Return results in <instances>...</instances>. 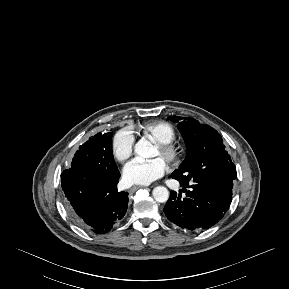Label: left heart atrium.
<instances>
[{"label":"left heart atrium","mask_w":289,"mask_h":289,"mask_svg":"<svg viewBox=\"0 0 289 289\" xmlns=\"http://www.w3.org/2000/svg\"><path fill=\"white\" fill-rule=\"evenodd\" d=\"M166 166L159 158L148 161L133 160L126 165L123 178L129 185H148L163 176Z\"/></svg>","instance_id":"obj_1"}]
</instances>
